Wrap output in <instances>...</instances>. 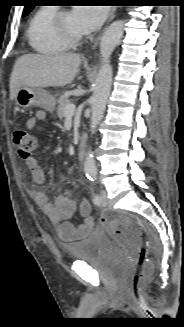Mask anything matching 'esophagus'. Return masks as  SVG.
Instances as JSON below:
<instances>
[{"instance_id": "1", "label": "esophagus", "mask_w": 184, "mask_h": 327, "mask_svg": "<svg viewBox=\"0 0 184 327\" xmlns=\"http://www.w3.org/2000/svg\"><path fill=\"white\" fill-rule=\"evenodd\" d=\"M115 12H116V8L113 7V8L111 9V11H110V14H109V18H108L107 23H109V22L114 18V16H115ZM99 39H100V36L98 37V39L96 40L95 44L93 45V49L96 48Z\"/></svg>"}]
</instances>
